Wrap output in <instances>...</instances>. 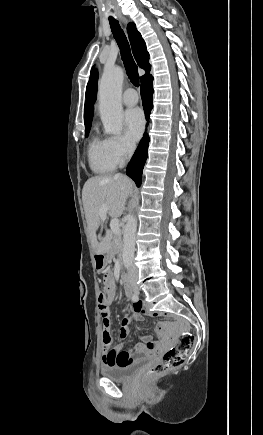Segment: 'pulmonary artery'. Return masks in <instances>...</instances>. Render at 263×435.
Wrapping results in <instances>:
<instances>
[{
    "instance_id": "e3ab8cb5",
    "label": "pulmonary artery",
    "mask_w": 263,
    "mask_h": 435,
    "mask_svg": "<svg viewBox=\"0 0 263 435\" xmlns=\"http://www.w3.org/2000/svg\"><path fill=\"white\" fill-rule=\"evenodd\" d=\"M138 95L134 89H128L124 92L122 102L126 106H134L138 103Z\"/></svg>"
}]
</instances>
